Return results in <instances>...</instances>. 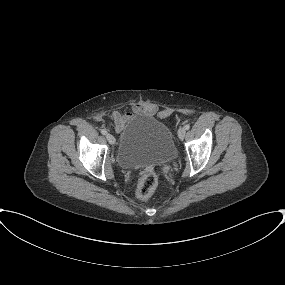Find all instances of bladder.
Instances as JSON below:
<instances>
[{
  "mask_svg": "<svg viewBox=\"0 0 285 285\" xmlns=\"http://www.w3.org/2000/svg\"><path fill=\"white\" fill-rule=\"evenodd\" d=\"M177 148L170 128L156 116L135 113L125 124L118 147V162L127 169L172 162Z\"/></svg>",
  "mask_w": 285,
  "mask_h": 285,
  "instance_id": "31cf9c89",
  "label": "bladder"
}]
</instances>
